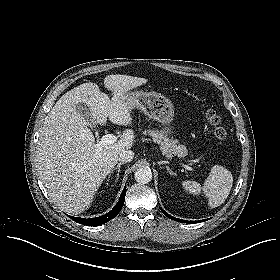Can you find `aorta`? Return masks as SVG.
Instances as JSON below:
<instances>
[{
    "instance_id": "obj_1",
    "label": "aorta",
    "mask_w": 280,
    "mask_h": 280,
    "mask_svg": "<svg viewBox=\"0 0 280 280\" xmlns=\"http://www.w3.org/2000/svg\"><path fill=\"white\" fill-rule=\"evenodd\" d=\"M134 178L139 184H147L152 180V172L148 167H142L135 171Z\"/></svg>"
}]
</instances>
